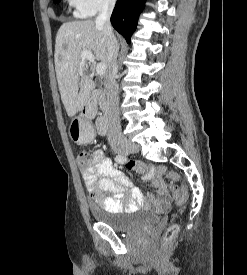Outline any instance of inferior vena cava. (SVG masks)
<instances>
[{
  "instance_id": "1",
  "label": "inferior vena cava",
  "mask_w": 247,
  "mask_h": 275,
  "mask_svg": "<svg viewBox=\"0 0 247 275\" xmlns=\"http://www.w3.org/2000/svg\"><path fill=\"white\" fill-rule=\"evenodd\" d=\"M116 0H104L100 12L96 17L95 24L102 30L108 50L109 68L105 74L104 85L108 95V133L107 138L112 146L122 144L125 138L122 134L119 118V91L116 83L118 72L117 55L119 44L114 36L110 17Z\"/></svg>"
}]
</instances>
